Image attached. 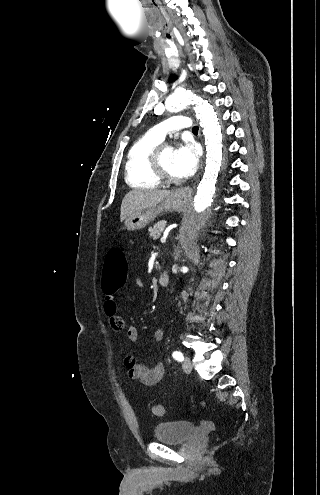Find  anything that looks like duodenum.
Masks as SVG:
<instances>
[{"label": "duodenum", "instance_id": "1", "mask_svg": "<svg viewBox=\"0 0 320 495\" xmlns=\"http://www.w3.org/2000/svg\"><path fill=\"white\" fill-rule=\"evenodd\" d=\"M158 282L161 286L166 287L170 283V273L168 271H164L159 276Z\"/></svg>", "mask_w": 320, "mask_h": 495}]
</instances>
